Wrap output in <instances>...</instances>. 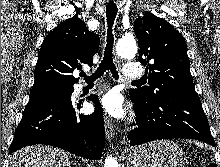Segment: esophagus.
Wrapping results in <instances>:
<instances>
[{"label":"esophagus","instance_id":"34e87169","mask_svg":"<svg viewBox=\"0 0 220 167\" xmlns=\"http://www.w3.org/2000/svg\"><path fill=\"white\" fill-rule=\"evenodd\" d=\"M105 135L108 142H111L115 137V127L110 117L105 114L104 116Z\"/></svg>","mask_w":220,"mask_h":167}]
</instances>
